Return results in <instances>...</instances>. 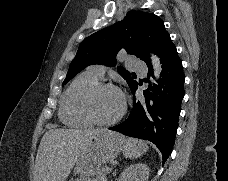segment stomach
Instances as JSON below:
<instances>
[{
	"label": "stomach",
	"mask_w": 228,
	"mask_h": 181,
	"mask_svg": "<svg viewBox=\"0 0 228 181\" xmlns=\"http://www.w3.org/2000/svg\"><path fill=\"white\" fill-rule=\"evenodd\" d=\"M124 141L122 135L111 133L108 129L93 135L90 145L80 153L74 165L75 175L98 177L97 173L103 169L102 165L116 159Z\"/></svg>",
	"instance_id": "1"
}]
</instances>
